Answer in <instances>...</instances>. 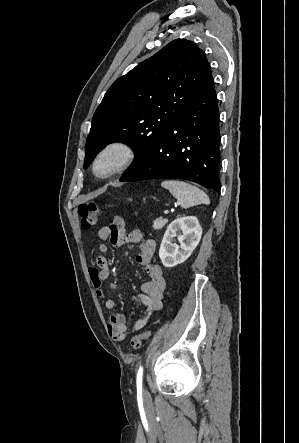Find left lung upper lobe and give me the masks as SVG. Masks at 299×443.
I'll return each instance as SVG.
<instances>
[{"label": "left lung upper lobe", "mask_w": 299, "mask_h": 443, "mask_svg": "<svg viewBox=\"0 0 299 443\" xmlns=\"http://www.w3.org/2000/svg\"><path fill=\"white\" fill-rule=\"evenodd\" d=\"M212 80L204 52L176 39L118 78L97 108L87 137L84 169L105 145L132 143L131 171Z\"/></svg>", "instance_id": "1"}]
</instances>
